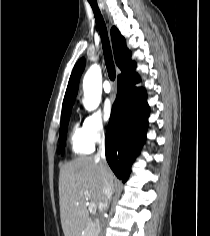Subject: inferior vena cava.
Masks as SVG:
<instances>
[{
  "instance_id": "1",
  "label": "inferior vena cava",
  "mask_w": 210,
  "mask_h": 236,
  "mask_svg": "<svg viewBox=\"0 0 210 236\" xmlns=\"http://www.w3.org/2000/svg\"><path fill=\"white\" fill-rule=\"evenodd\" d=\"M96 159L101 164L105 163V148H104L103 138H101L99 142V149L97 151ZM112 194H113V182H111L109 179L104 177L103 178L102 213L100 215V236H104L105 234L106 220L104 218L103 211L108 208Z\"/></svg>"
}]
</instances>
